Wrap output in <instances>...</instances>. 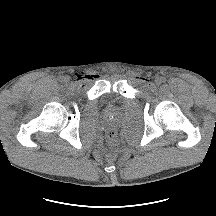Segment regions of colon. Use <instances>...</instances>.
<instances>
[{"label":"colon","instance_id":"1","mask_svg":"<svg viewBox=\"0 0 216 216\" xmlns=\"http://www.w3.org/2000/svg\"><path fill=\"white\" fill-rule=\"evenodd\" d=\"M107 140L110 144H116L118 142L117 133L113 130L109 131L107 134Z\"/></svg>","mask_w":216,"mask_h":216}]
</instances>
